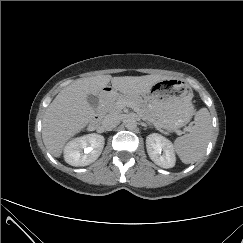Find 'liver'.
<instances>
[{
    "instance_id": "6515ba94",
    "label": "liver",
    "mask_w": 243,
    "mask_h": 243,
    "mask_svg": "<svg viewBox=\"0 0 243 243\" xmlns=\"http://www.w3.org/2000/svg\"><path fill=\"white\" fill-rule=\"evenodd\" d=\"M168 79L161 75L123 76L98 75L78 79L65 87L46 109L42 122V138L47 150L60 157L66 142L84 129L95 116L87 96L98 95L111 81L113 91L139 98L154 84Z\"/></svg>"
}]
</instances>
